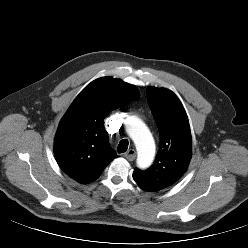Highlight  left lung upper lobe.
<instances>
[{"label": "left lung upper lobe", "instance_id": "1", "mask_svg": "<svg viewBox=\"0 0 248 248\" xmlns=\"http://www.w3.org/2000/svg\"><path fill=\"white\" fill-rule=\"evenodd\" d=\"M149 106L160 134V148L154 164L135 168L133 179L144 191L157 192L177 182L192 158V139L186 111L170 90L147 89Z\"/></svg>", "mask_w": 248, "mask_h": 248}]
</instances>
